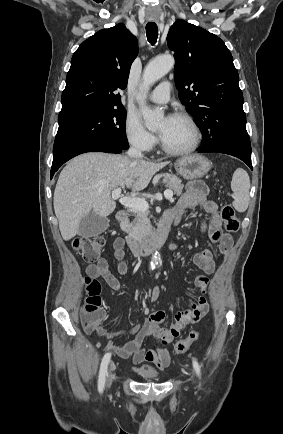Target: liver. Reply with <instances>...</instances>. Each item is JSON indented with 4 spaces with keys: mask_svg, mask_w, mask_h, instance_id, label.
I'll use <instances>...</instances> for the list:
<instances>
[{
    "mask_svg": "<svg viewBox=\"0 0 283 434\" xmlns=\"http://www.w3.org/2000/svg\"><path fill=\"white\" fill-rule=\"evenodd\" d=\"M168 162L126 155L85 153L61 171L54 191V211L65 241L78 234L80 221L91 211L107 217L116 208L111 192L118 187L141 191Z\"/></svg>",
    "mask_w": 283,
    "mask_h": 434,
    "instance_id": "liver-1",
    "label": "liver"
}]
</instances>
